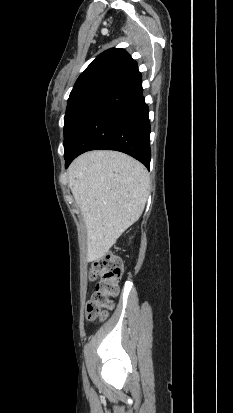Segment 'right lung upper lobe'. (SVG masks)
<instances>
[{"label": "right lung upper lobe", "instance_id": "1", "mask_svg": "<svg viewBox=\"0 0 233 413\" xmlns=\"http://www.w3.org/2000/svg\"><path fill=\"white\" fill-rule=\"evenodd\" d=\"M137 66L123 49L112 48L100 54L79 76L73 90L98 79H118ZM72 90V91H73Z\"/></svg>", "mask_w": 233, "mask_h": 413}]
</instances>
